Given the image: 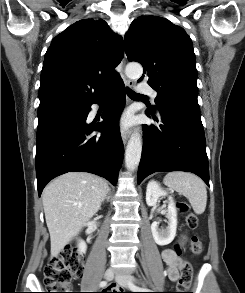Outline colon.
Here are the masks:
<instances>
[{"mask_svg":"<svg viewBox=\"0 0 245 293\" xmlns=\"http://www.w3.org/2000/svg\"><path fill=\"white\" fill-rule=\"evenodd\" d=\"M179 211L186 214L185 221L190 228L198 225V217L189 212V206L185 202L177 204ZM190 251L194 255L202 252V241L199 237L194 236L190 241ZM175 252L182 254L181 247H176ZM82 255L72 247L64 248L57 257L49 260L43 267L45 286L53 291L52 293H74L71 291V282L76 279L82 270ZM193 270L190 264L185 263L180 269L178 285L187 286L191 283Z\"/></svg>","mask_w":245,"mask_h":293,"instance_id":"colon-1","label":"colon"}]
</instances>
